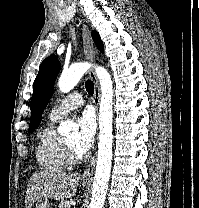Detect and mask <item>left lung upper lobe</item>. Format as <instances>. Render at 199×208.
<instances>
[{
	"mask_svg": "<svg viewBox=\"0 0 199 208\" xmlns=\"http://www.w3.org/2000/svg\"><path fill=\"white\" fill-rule=\"evenodd\" d=\"M91 35L98 49L101 52H104V46L99 34L96 31H93ZM59 71L60 63L54 55L46 58L39 67L38 75L34 81L33 95L31 98L29 132H33L41 122L44 109L53 94V86Z\"/></svg>",
	"mask_w": 199,
	"mask_h": 208,
	"instance_id": "5c2ea615",
	"label": "left lung upper lobe"
}]
</instances>
